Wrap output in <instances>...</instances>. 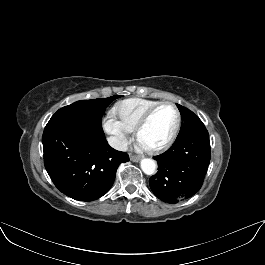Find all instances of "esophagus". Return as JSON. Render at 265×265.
I'll return each mask as SVG.
<instances>
[{"label": "esophagus", "mask_w": 265, "mask_h": 265, "mask_svg": "<svg viewBox=\"0 0 265 265\" xmlns=\"http://www.w3.org/2000/svg\"><path fill=\"white\" fill-rule=\"evenodd\" d=\"M140 159H141L140 156L132 155V154L130 155V160L133 162H138Z\"/></svg>", "instance_id": "obj_1"}]
</instances>
